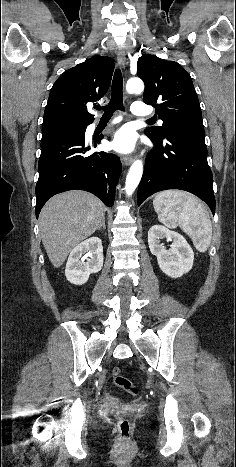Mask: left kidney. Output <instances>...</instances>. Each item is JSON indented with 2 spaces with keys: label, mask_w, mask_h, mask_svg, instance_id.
<instances>
[{
  "label": "left kidney",
  "mask_w": 236,
  "mask_h": 467,
  "mask_svg": "<svg viewBox=\"0 0 236 467\" xmlns=\"http://www.w3.org/2000/svg\"><path fill=\"white\" fill-rule=\"evenodd\" d=\"M164 238L173 241L169 250L161 243ZM148 244L151 253L157 257L160 269L167 276L179 278L192 269L194 252L179 233L161 225H154L148 231Z\"/></svg>",
  "instance_id": "obj_1"
}]
</instances>
